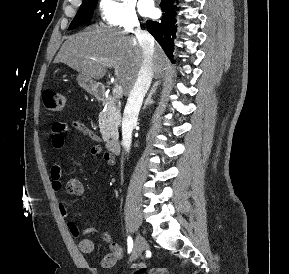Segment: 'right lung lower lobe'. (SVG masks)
<instances>
[{"label": "right lung lower lobe", "mask_w": 289, "mask_h": 274, "mask_svg": "<svg viewBox=\"0 0 289 274\" xmlns=\"http://www.w3.org/2000/svg\"><path fill=\"white\" fill-rule=\"evenodd\" d=\"M160 7L163 11V16L160 21L148 20L146 23L147 30L153 35L158 43L163 48L166 55L172 59L174 38H176V12L178 8L175 5V0H162ZM173 62V61H172Z\"/></svg>", "instance_id": "right-lung-lower-lobe-1"}]
</instances>
